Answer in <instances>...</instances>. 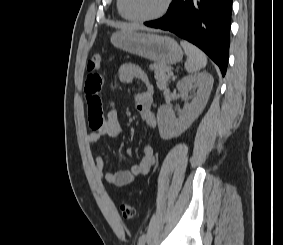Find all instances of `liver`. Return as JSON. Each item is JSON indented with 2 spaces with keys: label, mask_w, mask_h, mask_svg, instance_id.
Returning a JSON list of instances; mask_svg holds the SVG:
<instances>
[{
  "label": "liver",
  "mask_w": 283,
  "mask_h": 245,
  "mask_svg": "<svg viewBox=\"0 0 283 245\" xmlns=\"http://www.w3.org/2000/svg\"><path fill=\"white\" fill-rule=\"evenodd\" d=\"M113 27L120 28L121 30L135 31L138 29L136 25L133 24H112Z\"/></svg>",
  "instance_id": "obj_1"
}]
</instances>
